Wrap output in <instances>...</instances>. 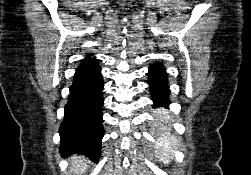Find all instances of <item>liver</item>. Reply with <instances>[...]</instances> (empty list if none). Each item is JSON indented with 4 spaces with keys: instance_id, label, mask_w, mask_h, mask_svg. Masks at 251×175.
Listing matches in <instances>:
<instances>
[{
    "instance_id": "liver-1",
    "label": "liver",
    "mask_w": 251,
    "mask_h": 175,
    "mask_svg": "<svg viewBox=\"0 0 251 175\" xmlns=\"http://www.w3.org/2000/svg\"><path fill=\"white\" fill-rule=\"evenodd\" d=\"M71 161L72 169L74 173H77V175H80V173H82V171H85L86 167H88V165H86L88 159H84L82 155H72Z\"/></svg>"
}]
</instances>
